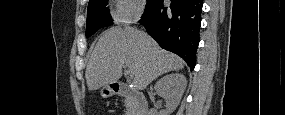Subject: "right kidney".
Instances as JSON below:
<instances>
[{
	"label": "right kidney",
	"mask_w": 285,
	"mask_h": 115,
	"mask_svg": "<svg viewBox=\"0 0 285 115\" xmlns=\"http://www.w3.org/2000/svg\"><path fill=\"white\" fill-rule=\"evenodd\" d=\"M187 80L183 74H169L161 78L155 85L156 93L165 99L166 109L159 113L151 111L152 115H169L179 105L186 89Z\"/></svg>",
	"instance_id": "obj_1"
}]
</instances>
